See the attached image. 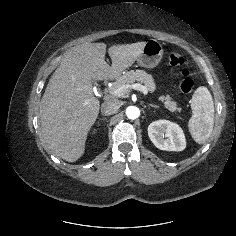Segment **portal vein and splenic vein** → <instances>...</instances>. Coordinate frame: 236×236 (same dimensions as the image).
Here are the masks:
<instances>
[{
    "instance_id": "18ae733b",
    "label": "portal vein and splenic vein",
    "mask_w": 236,
    "mask_h": 236,
    "mask_svg": "<svg viewBox=\"0 0 236 236\" xmlns=\"http://www.w3.org/2000/svg\"><path fill=\"white\" fill-rule=\"evenodd\" d=\"M129 89H135L141 91L144 95L148 93L147 88L139 83H135L132 85H122L121 87L117 88L113 92H111L113 95L117 97H122L126 93L129 92Z\"/></svg>"
}]
</instances>
